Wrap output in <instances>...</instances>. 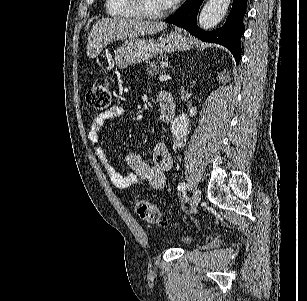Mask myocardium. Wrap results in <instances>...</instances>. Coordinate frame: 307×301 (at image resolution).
I'll return each instance as SVG.
<instances>
[{
    "mask_svg": "<svg viewBox=\"0 0 307 301\" xmlns=\"http://www.w3.org/2000/svg\"><path fill=\"white\" fill-rule=\"evenodd\" d=\"M133 4L129 5V11L133 12L135 17L143 18V22H158V18L170 17L172 4H161L155 11H148V2L146 0H131ZM144 10V11H143Z\"/></svg>",
    "mask_w": 307,
    "mask_h": 301,
    "instance_id": "myocardium-1",
    "label": "myocardium"
}]
</instances>
